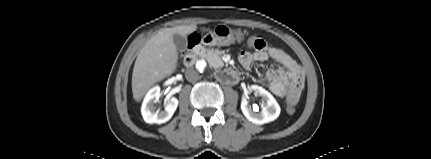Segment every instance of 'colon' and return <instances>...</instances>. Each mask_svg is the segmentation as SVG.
I'll list each match as a JSON object with an SVG mask.
<instances>
[{"label": "colon", "mask_w": 431, "mask_h": 159, "mask_svg": "<svg viewBox=\"0 0 431 159\" xmlns=\"http://www.w3.org/2000/svg\"><path fill=\"white\" fill-rule=\"evenodd\" d=\"M197 40V38L196 37H192L191 38V40L190 41H196ZM255 37H250V39L249 40H247L246 41V44H245V49H247V50H249V49H251V47L254 45V43H255ZM289 96L288 95H285V98L287 99ZM296 107V106H295ZM295 107H290L289 105H288V101H287V112L288 113H293L294 111H295Z\"/></svg>", "instance_id": "1"}]
</instances>
